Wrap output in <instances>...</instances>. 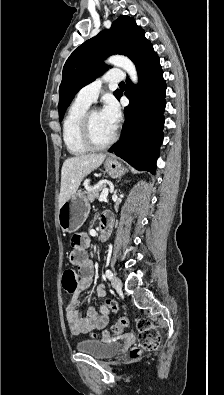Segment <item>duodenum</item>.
Returning a JSON list of instances; mask_svg holds the SVG:
<instances>
[{
    "label": "duodenum",
    "instance_id": "1",
    "mask_svg": "<svg viewBox=\"0 0 224 395\" xmlns=\"http://www.w3.org/2000/svg\"><path fill=\"white\" fill-rule=\"evenodd\" d=\"M113 229V216L106 212L102 214L99 225V239L105 242L111 235Z\"/></svg>",
    "mask_w": 224,
    "mask_h": 395
}]
</instances>
